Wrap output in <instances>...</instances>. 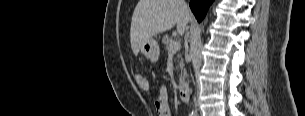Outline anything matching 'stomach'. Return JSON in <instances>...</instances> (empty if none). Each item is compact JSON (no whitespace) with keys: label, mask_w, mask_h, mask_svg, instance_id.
I'll list each match as a JSON object with an SVG mask.
<instances>
[{"label":"stomach","mask_w":305,"mask_h":116,"mask_svg":"<svg viewBox=\"0 0 305 116\" xmlns=\"http://www.w3.org/2000/svg\"><path fill=\"white\" fill-rule=\"evenodd\" d=\"M141 53L147 57L152 63H155L159 59L160 48L157 41L153 38L145 41L140 47Z\"/></svg>","instance_id":"0dacf381"}]
</instances>
